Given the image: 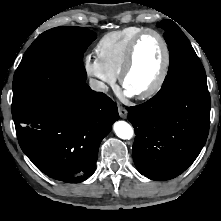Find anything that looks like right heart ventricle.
<instances>
[{"mask_svg":"<svg viewBox=\"0 0 221 221\" xmlns=\"http://www.w3.org/2000/svg\"><path fill=\"white\" fill-rule=\"evenodd\" d=\"M142 30V27L129 26L108 32L98 41L96 55L113 75L119 76L128 46Z\"/></svg>","mask_w":221,"mask_h":221,"instance_id":"obj_1","label":"right heart ventricle"}]
</instances>
